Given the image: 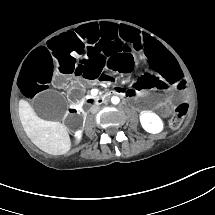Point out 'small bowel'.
Masks as SVG:
<instances>
[{
	"label": "small bowel",
	"mask_w": 215,
	"mask_h": 215,
	"mask_svg": "<svg viewBox=\"0 0 215 215\" xmlns=\"http://www.w3.org/2000/svg\"><path fill=\"white\" fill-rule=\"evenodd\" d=\"M131 95H136L135 89H133V90L131 91Z\"/></svg>",
	"instance_id": "obj_1"
}]
</instances>
